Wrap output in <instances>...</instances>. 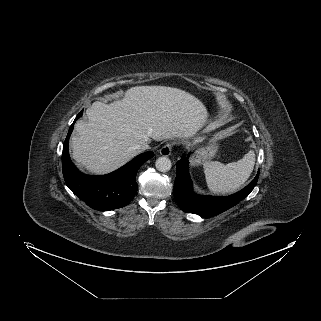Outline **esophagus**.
Here are the masks:
<instances>
[{"mask_svg":"<svg viewBox=\"0 0 321 321\" xmlns=\"http://www.w3.org/2000/svg\"><path fill=\"white\" fill-rule=\"evenodd\" d=\"M171 151H172V144L168 143L164 145L159 152L162 156H169L171 154Z\"/></svg>","mask_w":321,"mask_h":321,"instance_id":"34e87169","label":"esophagus"}]
</instances>
